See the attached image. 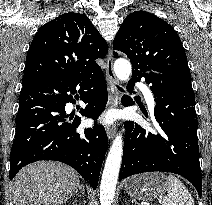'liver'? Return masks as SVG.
I'll return each mask as SVG.
<instances>
[{
	"mask_svg": "<svg viewBox=\"0 0 212 205\" xmlns=\"http://www.w3.org/2000/svg\"><path fill=\"white\" fill-rule=\"evenodd\" d=\"M76 171L60 162L39 161L22 168L11 183L15 205H63L76 187Z\"/></svg>",
	"mask_w": 212,
	"mask_h": 205,
	"instance_id": "obj_1",
	"label": "liver"
}]
</instances>
